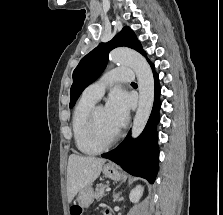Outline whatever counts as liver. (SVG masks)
<instances>
[{"instance_id":"obj_1","label":"liver","mask_w":223,"mask_h":215,"mask_svg":"<svg viewBox=\"0 0 223 215\" xmlns=\"http://www.w3.org/2000/svg\"><path fill=\"white\" fill-rule=\"evenodd\" d=\"M106 159L102 157H85L71 153L67 165V197L71 203L78 191L90 187L92 181L101 173L102 165Z\"/></svg>"}]
</instances>
